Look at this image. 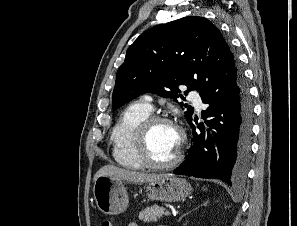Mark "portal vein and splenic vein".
Wrapping results in <instances>:
<instances>
[{
  "label": "portal vein and splenic vein",
  "instance_id": "obj_1",
  "mask_svg": "<svg viewBox=\"0 0 297 226\" xmlns=\"http://www.w3.org/2000/svg\"><path fill=\"white\" fill-rule=\"evenodd\" d=\"M164 215H165V216H169V215H171V212H170V211H165V212H164Z\"/></svg>",
  "mask_w": 297,
  "mask_h": 226
}]
</instances>
